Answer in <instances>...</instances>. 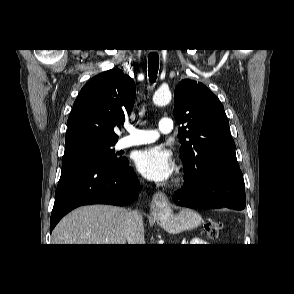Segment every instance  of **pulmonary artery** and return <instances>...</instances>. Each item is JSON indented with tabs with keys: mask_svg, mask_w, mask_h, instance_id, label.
I'll return each instance as SVG.
<instances>
[{
	"mask_svg": "<svg viewBox=\"0 0 294 294\" xmlns=\"http://www.w3.org/2000/svg\"><path fill=\"white\" fill-rule=\"evenodd\" d=\"M129 135L123 137L119 144L121 147L126 148L134 145H141L152 143L156 141L160 133H169L173 129V124L170 118L163 117L159 121L158 130H142L134 128L131 125L127 126Z\"/></svg>",
	"mask_w": 294,
	"mask_h": 294,
	"instance_id": "1",
	"label": "pulmonary artery"
}]
</instances>
